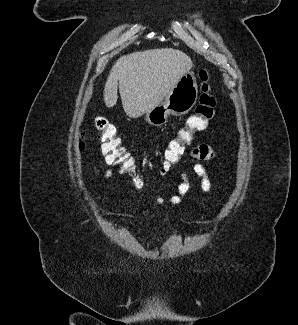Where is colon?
<instances>
[{"mask_svg": "<svg viewBox=\"0 0 298 325\" xmlns=\"http://www.w3.org/2000/svg\"><path fill=\"white\" fill-rule=\"evenodd\" d=\"M198 77L201 82L198 105L194 113L187 118L185 125L179 128L176 136L169 141L164 151L163 171L165 172L179 162L186 147L193 142L194 135L205 130L214 116L216 100L211 92L209 71L201 69ZM94 125L106 161L128 175L136 187H143L144 181L136 170L133 157L122 144L116 126L102 117L96 118Z\"/></svg>", "mask_w": 298, "mask_h": 325, "instance_id": "obj_1", "label": "colon"}]
</instances>
